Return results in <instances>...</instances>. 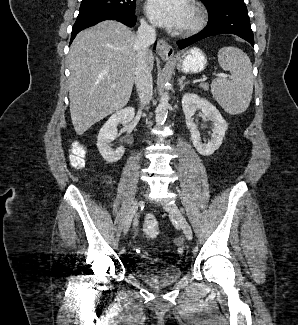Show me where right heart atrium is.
I'll return each instance as SVG.
<instances>
[{
    "label": "right heart atrium",
    "mask_w": 298,
    "mask_h": 325,
    "mask_svg": "<svg viewBox=\"0 0 298 325\" xmlns=\"http://www.w3.org/2000/svg\"><path fill=\"white\" fill-rule=\"evenodd\" d=\"M144 27H145L146 29H151L150 26H149L147 23H144Z\"/></svg>",
    "instance_id": "1"
}]
</instances>
